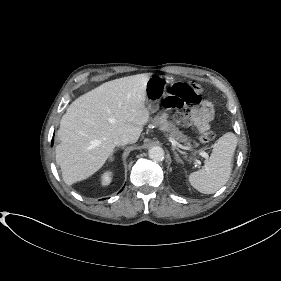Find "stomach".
<instances>
[{"instance_id":"0dacf381","label":"stomach","mask_w":281,"mask_h":281,"mask_svg":"<svg viewBox=\"0 0 281 281\" xmlns=\"http://www.w3.org/2000/svg\"><path fill=\"white\" fill-rule=\"evenodd\" d=\"M169 80L163 76H150L146 84V103L148 109L156 112L159 109V101L164 96Z\"/></svg>"}]
</instances>
